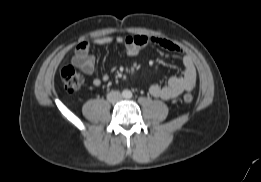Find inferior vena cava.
<instances>
[{"mask_svg": "<svg viewBox=\"0 0 261 182\" xmlns=\"http://www.w3.org/2000/svg\"><path fill=\"white\" fill-rule=\"evenodd\" d=\"M122 95L119 91H111L107 94V100L111 103H116L121 100Z\"/></svg>", "mask_w": 261, "mask_h": 182, "instance_id": "1", "label": "inferior vena cava"}]
</instances>
